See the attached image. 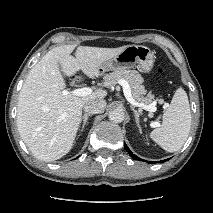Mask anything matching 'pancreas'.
I'll use <instances>...</instances> for the list:
<instances>
[{
    "mask_svg": "<svg viewBox=\"0 0 213 213\" xmlns=\"http://www.w3.org/2000/svg\"><path fill=\"white\" fill-rule=\"evenodd\" d=\"M104 86L107 88L114 87L119 80H125L128 82L133 98L143 104L149 105L154 101V95L149 93L146 97V90L144 86L141 84L143 82V78L141 75L135 70H121V71H113L112 73L105 74L103 77Z\"/></svg>",
    "mask_w": 213,
    "mask_h": 213,
    "instance_id": "cf45deb5",
    "label": "pancreas"
}]
</instances>
